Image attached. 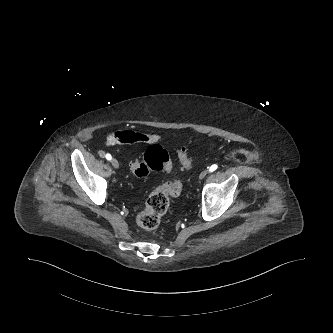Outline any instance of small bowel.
<instances>
[{
    "label": "small bowel",
    "instance_id": "small-bowel-1",
    "mask_svg": "<svg viewBox=\"0 0 333 333\" xmlns=\"http://www.w3.org/2000/svg\"><path fill=\"white\" fill-rule=\"evenodd\" d=\"M114 144H158L161 142L162 137L158 134H148L135 131H117L110 136Z\"/></svg>",
    "mask_w": 333,
    "mask_h": 333
}]
</instances>
